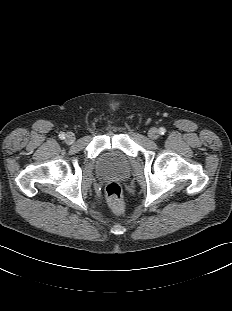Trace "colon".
I'll list each match as a JSON object with an SVG mask.
<instances>
[{"instance_id": "obj_1", "label": "colon", "mask_w": 232, "mask_h": 311, "mask_svg": "<svg viewBox=\"0 0 232 311\" xmlns=\"http://www.w3.org/2000/svg\"><path fill=\"white\" fill-rule=\"evenodd\" d=\"M106 199L115 212H121L124 209V199L121 186L117 182H110L105 189Z\"/></svg>"}]
</instances>
